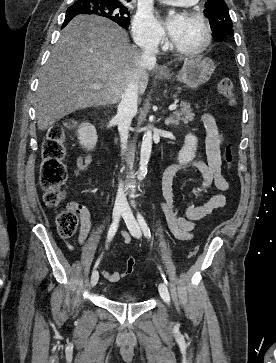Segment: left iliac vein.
Wrapping results in <instances>:
<instances>
[{
  "label": "left iliac vein",
  "instance_id": "obj_1",
  "mask_svg": "<svg viewBox=\"0 0 276 363\" xmlns=\"http://www.w3.org/2000/svg\"><path fill=\"white\" fill-rule=\"evenodd\" d=\"M122 216L127 224V227L129 229L131 235L135 238H140L141 237L140 226H139L137 220L135 219V217L133 216V213L128 205L125 206ZM158 289H159V293H160L162 299L167 304H169L170 295H169V291H168V288L165 285V283H160Z\"/></svg>",
  "mask_w": 276,
  "mask_h": 363
}]
</instances>
